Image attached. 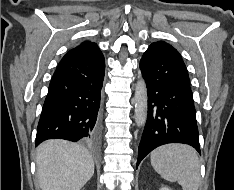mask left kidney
I'll return each mask as SVG.
<instances>
[{
	"instance_id": "5707ae66",
	"label": "left kidney",
	"mask_w": 234,
	"mask_h": 190,
	"mask_svg": "<svg viewBox=\"0 0 234 190\" xmlns=\"http://www.w3.org/2000/svg\"><path fill=\"white\" fill-rule=\"evenodd\" d=\"M160 190H171V189L168 187H162Z\"/></svg>"
}]
</instances>
